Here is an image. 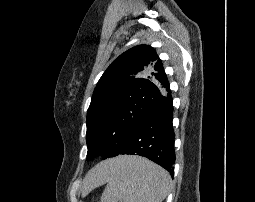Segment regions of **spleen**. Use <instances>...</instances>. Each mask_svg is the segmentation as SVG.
<instances>
[{"label": "spleen", "mask_w": 255, "mask_h": 202, "mask_svg": "<svg viewBox=\"0 0 255 202\" xmlns=\"http://www.w3.org/2000/svg\"><path fill=\"white\" fill-rule=\"evenodd\" d=\"M123 157L103 166L107 183L101 202H162L170 192L171 178L167 171L148 159Z\"/></svg>", "instance_id": "3e777b00"}]
</instances>
